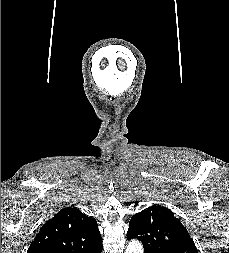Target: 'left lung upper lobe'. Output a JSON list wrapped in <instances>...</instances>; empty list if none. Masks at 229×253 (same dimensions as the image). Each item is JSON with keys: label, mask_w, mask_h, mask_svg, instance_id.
<instances>
[{"label": "left lung upper lobe", "mask_w": 229, "mask_h": 253, "mask_svg": "<svg viewBox=\"0 0 229 253\" xmlns=\"http://www.w3.org/2000/svg\"><path fill=\"white\" fill-rule=\"evenodd\" d=\"M127 239H138L144 253H198L186 227L171 210L155 205L132 216Z\"/></svg>", "instance_id": "obj_1"}]
</instances>
